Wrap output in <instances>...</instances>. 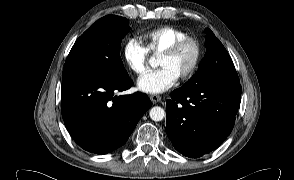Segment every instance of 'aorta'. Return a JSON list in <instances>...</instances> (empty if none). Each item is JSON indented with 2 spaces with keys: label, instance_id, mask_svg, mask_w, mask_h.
I'll return each mask as SVG.
<instances>
[{
  "label": "aorta",
  "instance_id": "aorta-1",
  "mask_svg": "<svg viewBox=\"0 0 294 180\" xmlns=\"http://www.w3.org/2000/svg\"><path fill=\"white\" fill-rule=\"evenodd\" d=\"M150 62H151V65L154 66V63L152 61H150ZM149 115L153 121L158 122V121L163 120V118L165 117V111L163 108H161L159 106H155L150 109Z\"/></svg>",
  "mask_w": 294,
  "mask_h": 180
}]
</instances>
